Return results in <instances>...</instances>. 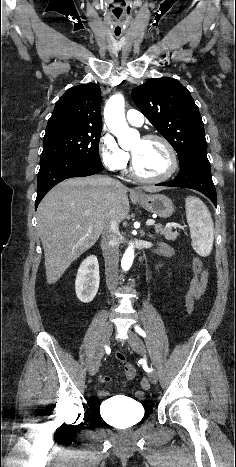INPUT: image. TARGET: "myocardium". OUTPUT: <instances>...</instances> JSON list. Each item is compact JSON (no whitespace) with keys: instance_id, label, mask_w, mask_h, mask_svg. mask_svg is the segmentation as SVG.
<instances>
[{"instance_id":"myocardium-1","label":"myocardium","mask_w":236,"mask_h":467,"mask_svg":"<svg viewBox=\"0 0 236 467\" xmlns=\"http://www.w3.org/2000/svg\"><path fill=\"white\" fill-rule=\"evenodd\" d=\"M142 140H145V141L158 140L161 143H163V145L166 147V149L168 151V154L170 156V167H169V170L165 174H163L161 176H157V177L143 176L138 172L137 167H136L135 158L132 155V163H131L132 176L135 179H137V180H139L141 182H146V183H160V182H164V181H167L170 178H172L175 175V173L177 172V170H178L179 160H178L176 150L173 147V145L170 143V141L167 138H165L164 136H161V135H158V134H147V135L142 137Z\"/></svg>"}]
</instances>
